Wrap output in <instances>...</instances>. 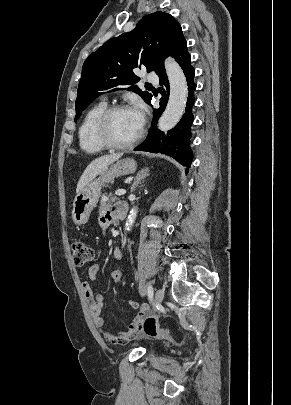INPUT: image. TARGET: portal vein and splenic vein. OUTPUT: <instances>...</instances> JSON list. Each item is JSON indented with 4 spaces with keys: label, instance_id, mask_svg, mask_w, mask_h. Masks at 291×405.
I'll list each match as a JSON object with an SVG mask.
<instances>
[{
    "label": "portal vein and splenic vein",
    "instance_id": "portal-vein-and-splenic-vein-1",
    "mask_svg": "<svg viewBox=\"0 0 291 405\" xmlns=\"http://www.w3.org/2000/svg\"><path fill=\"white\" fill-rule=\"evenodd\" d=\"M125 193H126V190H124V189H118L115 192V194L118 195V196L124 195Z\"/></svg>",
    "mask_w": 291,
    "mask_h": 405
}]
</instances>
